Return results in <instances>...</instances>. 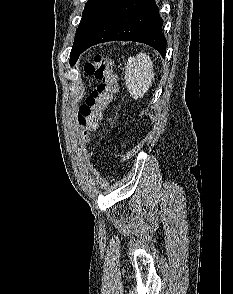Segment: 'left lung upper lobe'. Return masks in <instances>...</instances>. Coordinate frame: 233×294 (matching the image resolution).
<instances>
[{
    "instance_id": "1",
    "label": "left lung upper lobe",
    "mask_w": 233,
    "mask_h": 294,
    "mask_svg": "<svg viewBox=\"0 0 233 294\" xmlns=\"http://www.w3.org/2000/svg\"><path fill=\"white\" fill-rule=\"evenodd\" d=\"M111 1L112 0H88L86 3L70 54L71 59L69 62L71 65H74L77 61L81 54L84 41Z\"/></svg>"
}]
</instances>
